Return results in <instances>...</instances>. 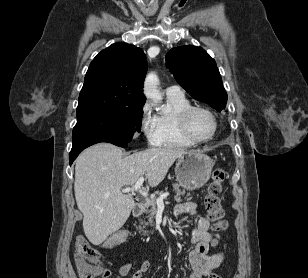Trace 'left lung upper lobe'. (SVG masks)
I'll list each match as a JSON object with an SVG mask.
<instances>
[{
  "label": "left lung upper lobe",
  "instance_id": "5c2ea615",
  "mask_svg": "<svg viewBox=\"0 0 308 278\" xmlns=\"http://www.w3.org/2000/svg\"><path fill=\"white\" fill-rule=\"evenodd\" d=\"M165 59L176 81L193 98L209 104L219 112L225 108L227 93L219 70L203 48L193 45L173 48Z\"/></svg>",
  "mask_w": 308,
  "mask_h": 278
}]
</instances>
